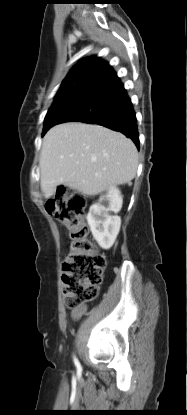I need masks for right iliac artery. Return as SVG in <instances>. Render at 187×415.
Here are the masks:
<instances>
[{"instance_id":"obj_1","label":"right iliac artery","mask_w":187,"mask_h":415,"mask_svg":"<svg viewBox=\"0 0 187 415\" xmlns=\"http://www.w3.org/2000/svg\"><path fill=\"white\" fill-rule=\"evenodd\" d=\"M74 362H75V365L77 366V368H80V363H79V361L76 357H74Z\"/></svg>"}]
</instances>
